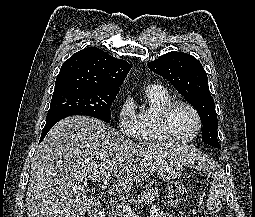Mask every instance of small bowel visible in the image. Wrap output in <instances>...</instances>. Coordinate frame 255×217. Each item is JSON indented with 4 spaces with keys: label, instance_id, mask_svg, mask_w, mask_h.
Segmentation results:
<instances>
[{
    "label": "small bowel",
    "instance_id": "1",
    "mask_svg": "<svg viewBox=\"0 0 255 217\" xmlns=\"http://www.w3.org/2000/svg\"><path fill=\"white\" fill-rule=\"evenodd\" d=\"M151 217H175L170 213H164L161 208L157 205L151 207ZM211 211V210H210Z\"/></svg>",
    "mask_w": 255,
    "mask_h": 217
}]
</instances>
